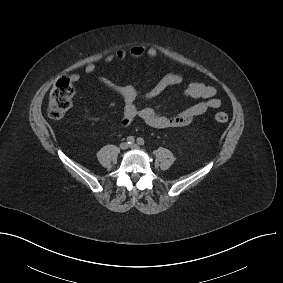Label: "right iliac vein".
Wrapping results in <instances>:
<instances>
[{"label": "right iliac vein", "instance_id": "63e3f726", "mask_svg": "<svg viewBox=\"0 0 283 283\" xmlns=\"http://www.w3.org/2000/svg\"><path fill=\"white\" fill-rule=\"evenodd\" d=\"M120 148H121L122 150H126V149L128 148V143H127V142H122V143L120 144Z\"/></svg>", "mask_w": 283, "mask_h": 283}]
</instances>
